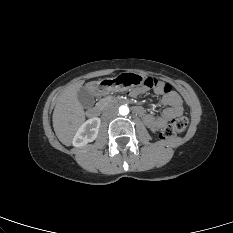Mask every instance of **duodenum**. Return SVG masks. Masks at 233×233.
Wrapping results in <instances>:
<instances>
[{
	"label": "duodenum",
	"instance_id": "410a0bca",
	"mask_svg": "<svg viewBox=\"0 0 233 233\" xmlns=\"http://www.w3.org/2000/svg\"><path fill=\"white\" fill-rule=\"evenodd\" d=\"M112 102L122 105L126 101L122 98H116ZM101 109L99 107H92L88 110L87 115L89 118H98L100 115ZM135 112H137V108L135 109Z\"/></svg>",
	"mask_w": 233,
	"mask_h": 233
}]
</instances>
